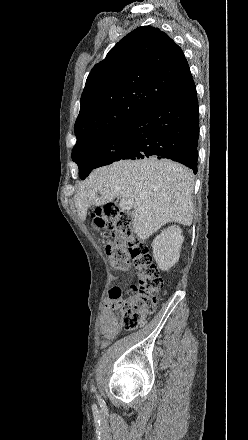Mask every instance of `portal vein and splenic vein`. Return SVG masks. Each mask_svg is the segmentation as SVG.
Here are the masks:
<instances>
[{"mask_svg": "<svg viewBox=\"0 0 248 440\" xmlns=\"http://www.w3.org/2000/svg\"><path fill=\"white\" fill-rule=\"evenodd\" d=\"M119 206L122 210H130L133 207V201L128 199H121Z\"/></svg>", "mask_w": 248, "mask_h": 440, "instance_id": "portal-vein-and-splenic-vein-1", "label": "portal vein and splenic vein"}]
</instances>
